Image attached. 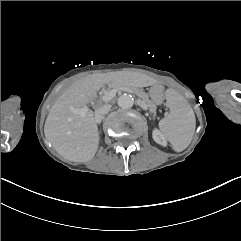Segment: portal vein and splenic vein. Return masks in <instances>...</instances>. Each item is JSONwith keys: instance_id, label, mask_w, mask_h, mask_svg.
Instances as JSON below:
<instances>
[{"instance_id": "18ae733b", "label": "portal vein and splenic vein", "mask_w": 241, "mask_h": 241, "mask_svg": "<svg viewBox=\"0 0 241 241\" xmlns=\"http://www.w3.org/2000/svg\"><path fill=\"white\" fill-rule=\"evenodd\" d=\"M117 91H122V92H126V93H129V94H133V91H131L129 89L116 88V89H112L111 91L107 92L102 97V100L105 101V102H109L110 100H112L116 96ZM88 110L89 109H88L87 106H85L83 108H80V109L74 108L73 106L70 107V111L72 113L79 114L81 117H85Z\"/></svg>"}]
</instances>
